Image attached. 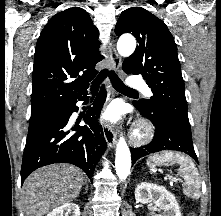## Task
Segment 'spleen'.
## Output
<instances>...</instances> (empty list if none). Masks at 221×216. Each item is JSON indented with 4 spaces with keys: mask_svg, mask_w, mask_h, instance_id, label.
I'll return each mask as SVG.
<instances>
[{
    "mask_svg": "<svg viewBox=\"0 0 221 216\" xmlns=\"http://www.w3.org/2000/svg\"><path fill=\"white\" fill-rule=\"evenodd\" d=\"M179 164V173L185 180V195L193 198L200 197V179L199 173L193 161L184 155L172 151H164L160 154H154L147 159V165L151 172H156V166Z\"/></svg>",
    "mask_w": 221,
    "mask_h": 216,
    "instance_id": "1",
    "label": "spleen"
}]
</instances>
